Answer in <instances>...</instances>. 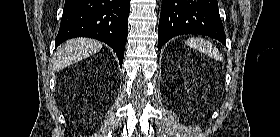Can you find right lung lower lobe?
<instances>
[{
	"label": "right lung lower lobe",
	"mask_w": 280,
	"mask_h": 137,
	"mask_svg": "<svg viewBox=\"0 0 280 137\" xmlns=\"http://www.w3.org/2000/svg\"><path fill=\"white\" fill-rule=\"evenodd\" d=\"M129 12L130 0H66L55 46L74 37L94 38L116 52L121 66Z\"/></svg>",
	"instance_id": "98d812e1"
}]
</instances>
